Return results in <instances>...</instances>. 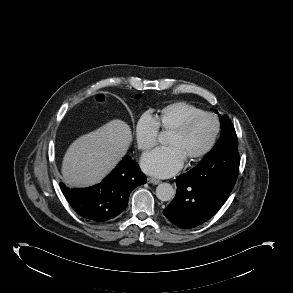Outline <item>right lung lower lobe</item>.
I'll use <instances>...</instances> for the list:
<instances>
[{"mask_svg":"<svg viewBox=\"0 0 293 293\" xmlns=\"http://www.w3.org/2000/svg\"><path fill=\"white\" fill-rule=\"evenodd\" d=\"M146 183L138 164L125 156L100 184L71 190L60 183L61 190L71 207L82 217L102 222L116 217L128 204L132 190Z\"/></svg>","mask_w":293,"mask_h":293,"instance_id":"98d812e1","label":"right lung lower lobe"}]
</instances>
